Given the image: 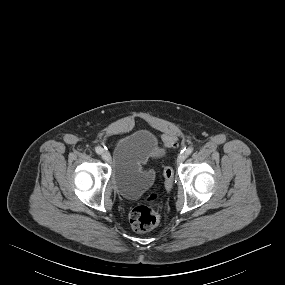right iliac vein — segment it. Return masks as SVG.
<instances>
[{"instance_id":"63e3f726","label":"right iliac vein","mask_w":285,"mask_h":285,"mask_svg":"<svg viewBox=\"0 0 285 285\" xmlns=\"http://www.w3.org/2000/svg\"><path fill=\"white\" fill-rule=\"evenodd\" d=\"M102 159L105 160V161H109L110 160V155L107 151H103L102 152Z\"/></svg>"}]
</instances>
